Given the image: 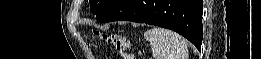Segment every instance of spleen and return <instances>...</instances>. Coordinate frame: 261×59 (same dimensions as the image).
Here are the masks:
<instances>
[{
	"label": "spleen",
	"mask_w": 261,
	"mask_h": 59,
	"mask_svg": "<svg viewBox=\"0 0 261 59\" xmlns=\"http://www.w3.org/2000/svg\"><path fill=\"white\" fill-rule=\"evenodd\" d=\"M152 47L155 59H187L188 48L184 38L164 28H152L144 33Z\"/></svg>",
	"instance_id": "obj_1"
}]
</instances>
